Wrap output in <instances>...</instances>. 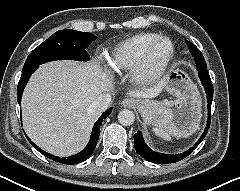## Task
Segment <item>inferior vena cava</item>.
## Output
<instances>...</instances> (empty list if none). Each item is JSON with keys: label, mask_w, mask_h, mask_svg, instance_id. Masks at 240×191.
<instances>
[{"label": "inferior vena cava", "mask_w": 240, "mask_h": 191, "mask_svg": "<svg viewBox=\"0 0 240 191\" xmlns=\"http://www.w3.org/2000/svg\"><path fill=\"white\" fill-rule=\"evenodd\" d=\"M111 99V94L102 93L92 102L91 106L97 111L102 112L107 109Z\"/></svg>", "instance_id": "inferior-vena-cava-1"}]
</instances>
